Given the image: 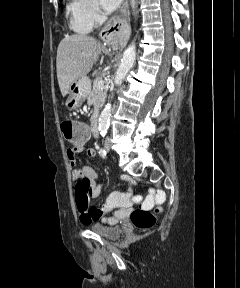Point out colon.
Listing matches in <instances>:
<instances>
[{
	"label": "colon",
	"mask_w": 240,
	"mask_h": 288,
	"mask_svg": "<svg viewBox=\"0 0 240 288\" xmlns=\"http://www.w3.org/2000/svg\"><path fill=\"white\" fill-rule=\"evenodd\" d=\"M61 130L65 139L71 143H78L86 138L85 126L72 119H66L61 123ZM159 209L144 210L141 208L135 209L131 213V222L139 230H146L156 222Z\"/></svg>",
	"instance_id": "1"
}]
</instances>
